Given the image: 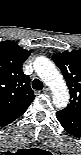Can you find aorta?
<instances>
[{
	"instance_id": "aorta-1",
	"label": "aorta",
	"mask_w": 81,
	"mask_h": 155,
	"mask_svg": "<svg viewBox=\"0 0 81 155\" xmlns=\"http://www.w3.org/2000/svg\"><path fill=\"white\" fill-rule=\"evenodd\" d=\"M34 67L40 78L52 90L53 103L57 107L66 106L69 99V92L62 75L53 63L45 57H38L34 62Z\"/></svg>"
}]
</instances>
